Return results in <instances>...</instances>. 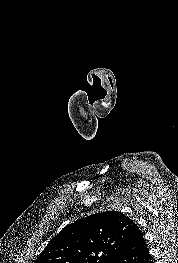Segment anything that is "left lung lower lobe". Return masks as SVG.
I'll return each instance as SVG.
<instances>
[{"instance_id": "left-lung-lower-lobe-1", "label": "left lung lower lobe", "mask_w": 178, "mask_h": 263, "mask_svg": "<svg viewBox=\"0 0 178 263\" xmlns=\"http://www.w3.org/2000/svg\"><path fill=\"white\" fill-rule=\"evenodd\" d=\"M112 263H153L143 234L134 222Z\"/></svg>"}]
</instances>
